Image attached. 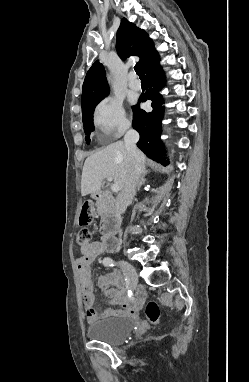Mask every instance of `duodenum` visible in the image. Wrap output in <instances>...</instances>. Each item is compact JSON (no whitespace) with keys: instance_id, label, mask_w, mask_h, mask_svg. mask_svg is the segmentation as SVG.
I'll return each mask as SVG.
<instances>
[{"instance_id":"obj_1","label":"duodenum","mask_w":249,"mask_h":382,"mask_svg":"<svg viewBox=\"0 0 249 382\" xmlns=\"http://www.w3.org/2000/svg\"><path fill=\"white\" fill-rule=\"evenodd\" d=\"M93 197L96 200L103 202L104 208L107 212H110L113 208L114 201L112 197L104 195L101 190H97L93 193ZM120 219L117 215H108L102 225V233L107 237H113L119 232Z\"/></svg>"}]
</instances>
